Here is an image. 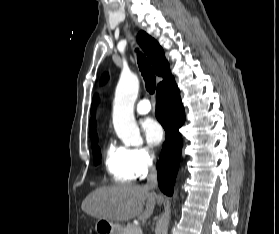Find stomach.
Returning <instances> with one entry per match:
<instances>
[{"mask_svg": "<svg viewBox=\"0 0 279 234\" xmlns=\"http://www.w3.org/2000/svg\"><path fill=\"white\" fill-rule=\"evenodd\" d=\"M95 230L98 234H121L122 227L117 223L99 219L96 222Z\"/></svg>", "mask_w": 279, "mask_h": 234, "instance_id": "stomach-1", "label": "stomach"}]
</instances>
